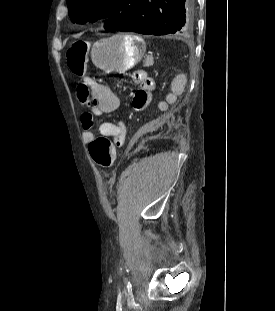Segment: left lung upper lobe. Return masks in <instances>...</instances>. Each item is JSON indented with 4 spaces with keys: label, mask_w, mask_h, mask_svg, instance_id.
I'll return each mask as SVG.
<instances>
[{
    "label": "left lung upper lobe",
    "mask_w": 275,
    "mask_h": 311,
    "mask_svg": "<svg viewBox=\"0 0 275 311\" xmlns=\"http://www.w3.org/2000/svg\"><path fill=\"white\" fill-rule=\"evenodd\" d=\"M66 2L73 23L95 22L107 18L104 28L113 32L135 16L141 0H66Z\"/></svg>",
    "instance_id": "left-lung-upper-lobe-1"
}]
</instances>
